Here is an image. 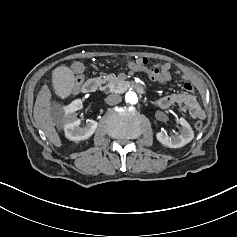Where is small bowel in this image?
<instances>
[{"label":"small bowel","mask_w":237,"mask_h":237,"mask_svg":"<svg viewBox=\"0 0 237 237\" xmlns=\"http://www.w3.org/2000/svg\"><path fill=\"white\" fill-rule=\"evenodd\" d=\"M138 60L129 64L134 71L143 72V68L136 64ZM163 81L171 79V64L168 62L158 65ZM176 73L185 81L183 88L185 92L165 95L156 101V105L162 109H167L172 106H177L182 112L188 113L194 119H204L206 113L201 107L197 98L193 95V75L183 69H179ZM82 83V78L77 77L74 83L73 92H77Z\"/></svg>","instance_id":"c3829d8e"}]
</instances>
